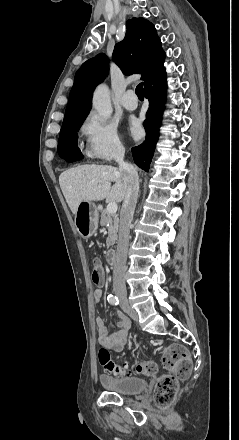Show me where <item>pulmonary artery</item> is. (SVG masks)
Returning a JSON list of instances; mask_svg holds the SVG:
<instances>
[{
  "instance_id": "1",
  "label": "pulmonary artery",
  "mask_w": 239,
  "mask_h": 440,
  "mask_svg": "<svg viewBox=\"0 0 239 440\" xmlns=\"http://www.w3.org/2000/svg\"><path fill=\"white\" fill-rule=\"evenodd\" d=\"M134 95H135V92H134L133 90H128V91H126V93H125V94L123 95V97L121 98L120 103H121V105H122L125 109H127V110H135V109L137 108V106H138L137 103H132V102H129V101L127 100L128 97H130V96H134Z\"/></svg>"
}]
</instances>
